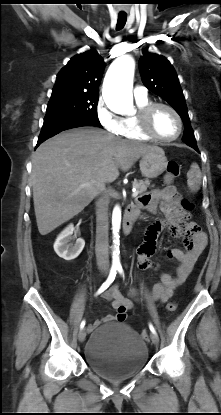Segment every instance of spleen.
Returning <instances> with one entry per match:
<instances>
[{
    "instance_id": "3e777b00",
    "label": "spleen",
    "mask_w": 221,
    "mask_h": 415,
    "mask_svg": "<svg viewBox=\"0 0 221 415\" xmlns=\"http://www.w3.org/2000/svg\"><path fill=\"white\" fill-rule=\"evenodd\" d=\"M201 171L196 163H193L187 173V185L192 192H197L201 186Z\"/></svg>"
}]
</instances>
